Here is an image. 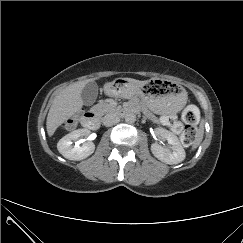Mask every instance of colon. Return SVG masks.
<instances>
[{
  "label": "colon",
  "instance_id": "obj_1",
  "mask_svg": "<svg viewBox=\"0 0 243 243\" xmlns=\"http://www.w3.org/2000/svg\"><path fill=\"white\" fill-rule=\"evenodd\" d=\"M199 121V111L194 105H188L182 112L181 120H177L173 115L164 117V122L169 125L172 131L180 136L183 145H191L197 136L196 125ZM74 120L67 121V127H72Z\"/></svg>",
  "mask_w": 243,
  "mask_h": 243
}]
</instances>
